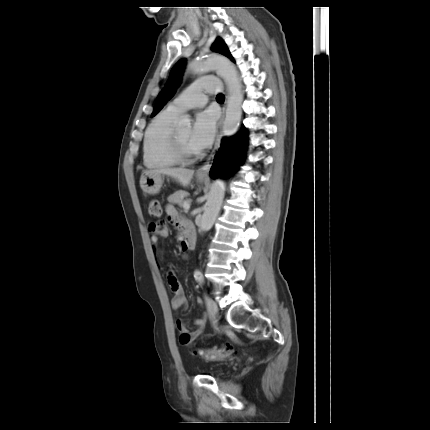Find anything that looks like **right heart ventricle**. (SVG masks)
<instances>
[{
  "label": "right heart ventricle",
  "mask_w": 430,
  "mask_h": 430,
  "mask_svg": "<svg viewBox=\"0 0 430 430\" xmlns=\"http://www.w3.org/2000/svg\"><path fill=\"white\" fill-rule=\"evenodd\" d=\"M179 114L168 108L158 113L146 128L143 139V163L145 167L163 169L179 162L171 152V135Z\"/></svg>",
  "instance_id": "right-heart-ventricle-1"
}]
</instances>
